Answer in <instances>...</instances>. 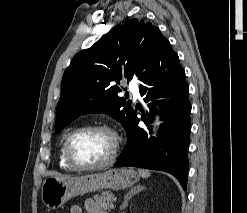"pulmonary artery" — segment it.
<instances>
[{
  "label": "pulmonary artery",
  "instance_id": "obj_1",
  "mask_svg": "<svg viewBox=\"0 0 247 213\" xmlns=\"http://www.w3.org/2000/svg\"><path fill=\"white\" fill-rule=\"evenodd\" d=\"M128 87H129L130 92L134 95L135 98L140 97L139 89H138V86L135 82L130 81L128 83Z\"/></svg>",
  "mask_w": 247,
  "mask_h": 213
}]
</instances>
